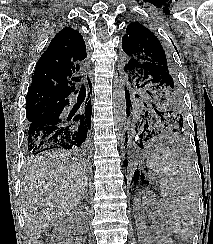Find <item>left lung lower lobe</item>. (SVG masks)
<instances>
[{"label":"left lung lower lobe","instance_id":"0a47b994","mask_svg":"<svg viewBox=\"0 0 213 244\" xmlns=\"http://www.w3.org/2000/svg\"><path fill=\"white\" fill-rule=\"evenodd\" d=\"M127 116L130 118V123H129V137L130 140H127V131H126V143L129 142V147L134 150L136 149H144L146 144L155 139L158 138L159 135L165 133V131L162 129V127L152 120L150 116L147 114H143L142 112L138 110H132L131 106H127L126 109ZM135 116H139L140 119H142L141 124L144 122L143 127L140 130H137L136 127L132 126L134 124L133 119ZM137 126V123H135ZM127 147V146H126ZM127 156V154L125 155ZM125 166L127 163L124 164ZM137 180H135L134 176V183H136Z\"/></svg>","mask_w":213,"mask_h":244}]
</instances>
